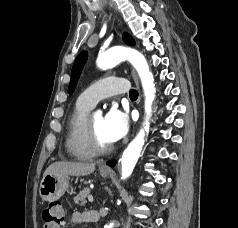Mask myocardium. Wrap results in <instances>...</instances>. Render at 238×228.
<instances>
[{
  "label": "myocardium",
  "mask_w": 238,
  "mask_h": 228,
  "mask_svg": "<svg viewBox=\"0 0 238 228\" xmlns=\"http://www.w3.org/2000/svg\"><path fill=\"white\" fill-rule=\"evenodd\" d=\"M86 128H87L88 144H89V147H90L91 151L95 155H107V154H109L113 151L114 146L112 144L102 145L99 142L98 137L95 133V130L92 126L91 118L87 119Z\"/></svg>",
  "instance_id": "myocardium-1"
}]
</instances>
